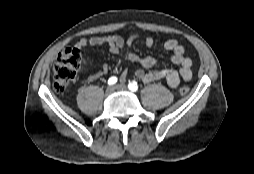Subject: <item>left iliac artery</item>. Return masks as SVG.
Instances as JSON below:
<instances>
[{
	"label": "left iliac artery",
	"instance_id": "obj_1",
	"mask_svg": "<svg viewBox=\"0 0 254 174\" xmlns=\"http://www.w3.org/2000/svg\"><path fill=\"white\" fill-rule=\"evenodd\" d=\"M128 88L133 92L137 91L138 90L137 82L133 81L132 83H129Z\"/></svg>",
	"mask_w": 254,
	"mask_h": 174
}]
</instances>
